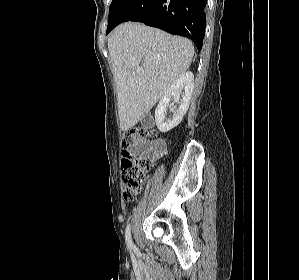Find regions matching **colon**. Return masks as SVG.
Masks as SVG:
<instances>
[{"mask_svg": "<svg viewBox=\"0 0 299 280\" xmlns=\"http://www.w3.org/2000/svg\"><path fill=\"white\" fill-rule=\"evenodd\" d=\"M146 139L147 130L144 127H134L123 134L121 168L126 201H132L140 194L151 167V157L135 155L132 151L144 145Z\"/></svg>", "mask_w": 299, "mask_h": 280, "instance_id": "1", "label": "colon"}]
</instances>
